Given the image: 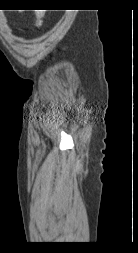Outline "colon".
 Wrapping results in <instances>:
<instances>
[{
  "label": "colon",
  "instance_id": "colon-1",
  "mask_svg": "<svg viewBox=\"0 0 138 253\" xmlns=\"http://www.w3.org/2000/svg\"><path fill=\"white\" fill-rule=\"evenodd\" d=\"M43 20V14L42 13H37V25L40 26L42 24Z\"/></svg>",
  "mask_w": 138,
  "mask_h": 253
}]
</instances>
